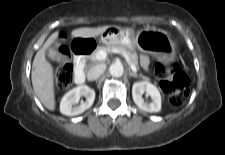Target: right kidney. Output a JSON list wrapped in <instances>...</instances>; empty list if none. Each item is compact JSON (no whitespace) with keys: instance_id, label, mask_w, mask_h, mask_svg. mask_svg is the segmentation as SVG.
I'll use <instances>...</instances> for the list:
<instances>
[{"instance_id":"right-kidney-1","label":"right kidney","mask_w":225,"mask_h":155,"mask_svg":"<svg viewBox=\"0 0 225 155\" xmlns=\"http://www.w3.org/2000/svg\"><path fill=\"white\" fill-rule=\"evenodd\" d=\"M80 96L86 97V101L81 102L78 106H73ZM94 100L95 91L93 89L86 85L78 86L64 95L60 103V112L67 116L81 114L93 105Z\"/></svg>"}]
</instances>
